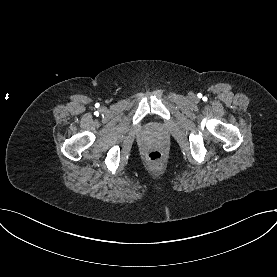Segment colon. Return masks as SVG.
Instances as JSON below:
<instances>
[{
  "mask_svg": "<svg viewBox=\"0 0 277 277\" xmlns=\"http://www.w3.org/2000/svg\"><path fill=\"white\" fill-rule=\"evenodd\" d=\"M147 158L152 163H159L162 160V153L158 150L150 151Z\"/></svg>",
  "mask_w": 277,
  "mask_h": 277,
  "instance_id": "obj_1",
  "label": "colon"
}]
</instances>
